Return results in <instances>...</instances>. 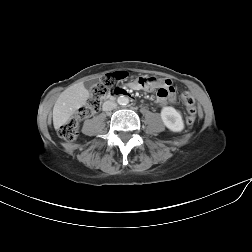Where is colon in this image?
<instances>
[{
	"mask_svg": "<svg viewBox=\"0 0 252 252\" xmlns=\"http://www.w3.org/2000/svg\"><path fill=\"white\" fill-rule=\"evenodd\" d=\"M127 77L128 73L125 71H116L104 75L92 88L86 104L83 105L65 124L60 127V137L68 142L74 141L78 135L80 121L98 111L104 98L113 94L115 91L120 90L115 86L116 83L125 81ZM138 80L144 88H150L151 85L149 78L141 77ZM181 99L188 112L187 123L192 124L196 119L197 111L194 97L189 92H184L182 93Z\"/></svg>",
	"mask_w": 252,
	"mask_h": 252,
	"instance_id": "obj_1",
	"label": "colon"
}]
</instances>
